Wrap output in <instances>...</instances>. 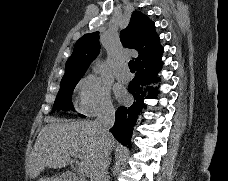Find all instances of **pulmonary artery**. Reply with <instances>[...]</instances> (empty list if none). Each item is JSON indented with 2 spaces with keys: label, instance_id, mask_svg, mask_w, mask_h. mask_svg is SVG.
Here are the masks:
<instances>
[{
  "label": "pulmonary artery",
  "instance_id": "1",
  "mask_svg": "<svg viewBox=\"0 0 228 181\" xmlns=\"http://www.w3.org/2000/svg\"><path fill=\"white\" fill-rule=\"evenodd\" d=\"M117 79H129V74H117Z\"/></svg>",
  "mask_w": 228,
  "mask_h": 181
}]
</instances>
